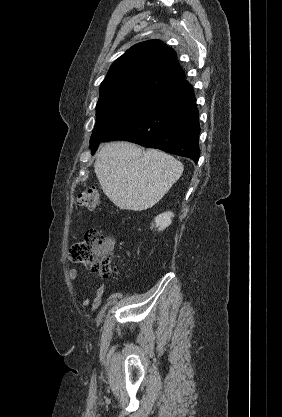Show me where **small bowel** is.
<instances>
[{
  "mask_svg": "<svg viewBox=\"0 0 282 417\" xmlns=\"http://www.w3.org/2000/svg\"><path fill=\"white\" fill-rule=\"evenodd\" d=\"M73 237L76 238L77 234H74ZM107 243H108L109 248H112L115 244V241L114 239L109 238ZM79 276H80V271L77 268H71L68 271V277L72 281L76 280ZM105 289H106V285L104 283L100 284L96 290V294L94 297L86 295L79 299V304L83 307L90 306L91 311L94 312L101 305L102 296L105 292Z\"/></svg>",
  "mask_w": 282,
  "mask_h": 417,
  "instance_id": "1",
  "label": "small bowel"
}]
</instances>
